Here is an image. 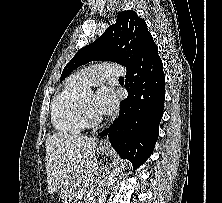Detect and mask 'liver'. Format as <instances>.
<instances>
[{"mask_svg":"<svg viewBox=\"0 0 222 203\" xmlns=\"http://www.w3.org/2000/svg\"><path fill=\"white\" fill-rule=\"evenodd\" d=\"M96 139L68 133H54L46 139L48 192L53 194L71 182L93 173L97 166ZM62 197V196H61Z\"/></svg>","mask_w":222,"mask_h":203,"instance_id":"6515ba94","label":"liver"}]
</instances>
